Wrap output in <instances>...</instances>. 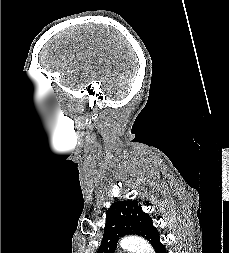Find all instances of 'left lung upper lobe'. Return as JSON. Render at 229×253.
Here are the masks:
<instances>
[{
  "label": "left lung upper lobe",
  "instance_id": "5c2ea615",
  "mask_svg": "<svg viewBox=\"0 0 229 253\" xmlns=\"http://www.w3.org/2000/svg\"><path fill=\"white\" fill-rule=\"evenodd\" d=\"M142 236L154 246L160 239L150 216L143 212L136 200L118 201L106 211V223L97 253H114L120 237Z\"/></svg>",
  "mask_w": 229,
  "mask_h": 253
}]
</instances>
